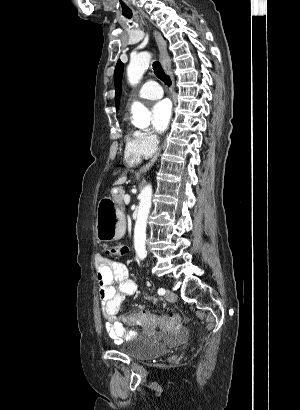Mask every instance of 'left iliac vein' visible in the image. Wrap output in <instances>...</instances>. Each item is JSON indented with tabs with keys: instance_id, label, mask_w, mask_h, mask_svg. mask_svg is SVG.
<instances>
[{
	"instance_id": "obj_1",
	"label": "left iliac vein",
	"mask_w": 300,
	"mask_h": 410,
	"mask_svg": "<svg viewBox=\"0 0 300 410\" xmlns=\"http://www.w3.org/2000/svg\"><path fill=\"white\" fill-rule=\"evenodd\" d=\"M165 298H166V300L169 301V302H174V301L177 300V295H176L173 291L167 290V291H166Z\"/></svg>"
}]
</instances>
